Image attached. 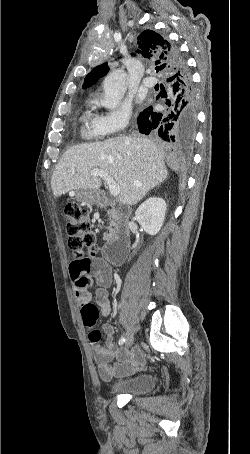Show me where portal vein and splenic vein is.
<instances>
[{"mask_svg":"<svg viewBox=\"0 0 250 454\" xmlns=\"http://www.w3.org/2000/svg\"><path fill=\"white\" fill-rule=\"evenodd\" d=\"M91 176L93 177H101L109 186V192L111 196L117 197L120 193V187L116 184V182L111 178L105 171L101 169H94L91 171Z\"/></svg>","mask_w":250,"mask_h":454,"instance_id":"1","label":"portal vein and splenic vein"}]
</instances>
